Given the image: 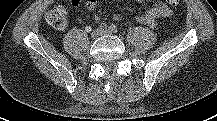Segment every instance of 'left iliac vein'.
Instances as JSON below:
<instances>
[{
    "instance_id": "obj_1",
    "label": "left iliac vein",
    "mask_w": 217,
    "mask_h": 121,
    "mask_svg": "<svg viewBox=\"0 0 217 121\" xmlns=\"http://www.w3.org/2000/svg\"><path fill=\"white\" fill-rule=\"evenodd\" d=\"M110 33H111V32L108 31V30H104V31L101 32L102 35H107V34H110Z\"/></svg>"
}]
</instances>
